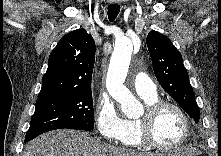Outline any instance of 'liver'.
Here are the masks:
<instances>
[{"label":"liver","mask_w":221,"mask_h":156,"mask_svg":"<svg viewBox=\"0 0 221 156\" xmlns=\"http://www.w3.org/2000/svg\"><path fill=\"white\" fill-rule=\"evenodd\" d=\"M185 155H194L195 149L184 148ZM23 156H150V154L103 144L88 134L63 129L40 135L30 141Z\"/></svg>","instance_id":"obj_1"}]
</instances>
